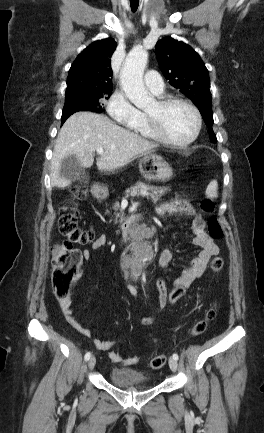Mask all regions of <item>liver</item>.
I'll return each mask as SVG.
<instances>
[{
	"instance_id": "1",
	"label": "liver",
	"mask_w": 264,
	"mask_h": 433,
	"mask_svg": "<svg viewBox=\"0 0 264 433\" xmlns=\"http://www.w3.org/2000/svg\"><path fill=\"white\" fill-rule=\"evenodd\" d=\"M158 145L130 132L108 117L92 112H78L70 116L60 129L51 159L52 187L65 188L70 182L60 177L62 160L75 155L83 168H90L94 152L102 148L97 159L99 171H114L133 159L150 154Z\"/></svg>"
}]
</instances>
